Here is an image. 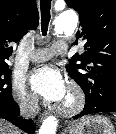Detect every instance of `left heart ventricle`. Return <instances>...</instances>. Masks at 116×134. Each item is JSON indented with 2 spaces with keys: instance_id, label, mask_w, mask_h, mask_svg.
I'll use <instances>...</instances> for the list:
<instances>
[{
  "instance_id": "left-heart-ventricle-1",
  "label": "left heart ventricle",
  "mask_w": 116,
  "mask_h": 134,
  "mask_svg": "<svg viewBox=\"0 0 116 134\" xmlns=\"http://www.w3.org/2000/svg\"><path fill=\"white\" fill-rule=\"evenodd\" d=\"M67 99H68V97H67V94H66V96H65L64 100L62 101V103L66 102Z\"/></svg>"
}]
</instances>
